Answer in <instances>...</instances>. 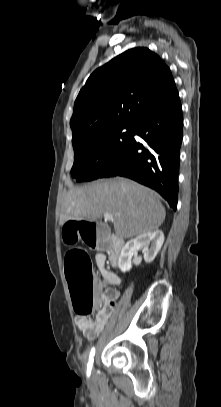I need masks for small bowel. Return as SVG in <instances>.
<instances>
[{
    "label": "small bowel",
    "instance_id": "obj_1",
    "mask_svg": "<svg viewBox=\"0 0 221 407\" xmlns=\"http://www.w3.org/2000/svg\"><path fill=\"white\" fill-rule=\"evenodd\" d=\"M95 263L101 276V282L98 285L100 309L94 319L85 316L76 317L78 328L82 331L84 336L90 340L98 337L107 324L114 306V301L119 296L118 291L112 287L120 284V278L107 269V258L105 255L97 253L95 255ZM106 294L111 297V301L107 302L104 300Z\"/></svg>",
    "mask_w": 221,
    "mask_h": 407
}]
</instances>
